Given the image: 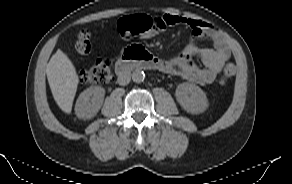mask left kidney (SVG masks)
Wrapping results in <instances>:
<instances>
[{
	"label": "left kidney",
	"mask_w": 292,
	"mask_h": 184,
	"mask_svg": "<svg viewBox=\"0 0 292 184\" xmlns=\"http://www.w3.org/2000/svg\"><path fill=\"white\" fill-rule=\"evenodd\" d=\"M177 102L187 112L199 114L208 108V100L203 90L195 84H179L175 91Z\"/></svg>",
	"instance_id": "obj_1"
}]
</instances>
